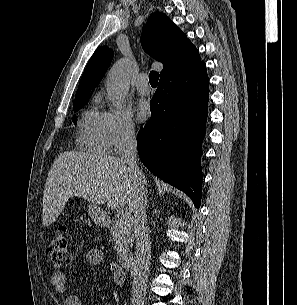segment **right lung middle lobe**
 I'll list each match as a JSON object with an SVG mask.
<instances>
[{
	"label": "right lung middle lobe",
	"instance_id": "obj_1",
	"mask_svg": "<svg viewBox=\"0 0 297 305\" xmlns=\"http://www.w3.org/2000/svg\"><path fill=\"white\" fill-rule=\"evenodd\" d=\"M88 98L89 97H86V98L75 101L74 106H73L74 111L78 110L79 108H82L86 104V101L88 100ZM76 120H77V117L75 116L73 118V122H75Z\"/></svg>",
	"mask_w": 297,
	"mask_h": 305
}]
</instances>
